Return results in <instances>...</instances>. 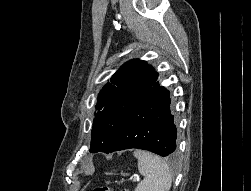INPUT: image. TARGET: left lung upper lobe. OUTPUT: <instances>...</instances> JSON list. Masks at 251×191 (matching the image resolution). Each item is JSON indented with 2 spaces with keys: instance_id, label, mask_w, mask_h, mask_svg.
I'll return each instance as SVG.
<instances>
[{
  "instance_id": "5c2ea615",
  "label": "left lung upper lobe",
  "mask_w": 251,
  "mask_h": 191,
  "mask_svg": "<svg viewBox=\"0 0 251 191\" xmlns=\"http://www.w3.org/2000/svg\"><path fill=\"white\" fill-rule=\"evenodd\" d=\"M158 73L145 61L126 62L97 98L91 152L107 153L140 99L153 87Z\"/></svg>"
}]
</instances>
